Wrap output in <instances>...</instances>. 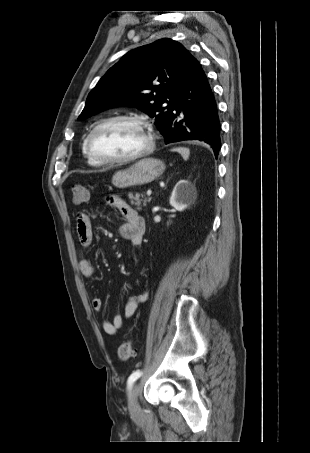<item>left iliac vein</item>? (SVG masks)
I'll return each mask as SVG.
<instances>
[{
  "instance_id": "left-iliac-vein-1",
  "label": "left iliac vein",
  "mask_w": 310,
  "mask_h": 453,
  "mask_svg": "<svg viewBox=\"0 0 310 453\" xmlns=\"http://www.w3.org/2000/svg\"><path fill=\"white\" fill-rule=\"evenodd\" d=\"M139 388L134 385L129 395V411L132 415H137L140 412V406L138 403Z\"/></svg>"
}]
</instances>
